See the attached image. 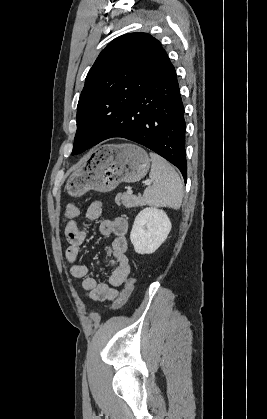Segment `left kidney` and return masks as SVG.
<instances>
[{"instance_id": "5707ae66", "label": "left kidney", "mask_w": 267, "mask_h": 419, "mask_svg": "<svg viewBox=\"0 0 267 419\" xmlns=\"http://www.w3.org/2000/svg\"><path fill=\"white\" fill-rule=\"evenodd\" d=\"M171 222L165 211L146 207L135 218L130 240L138 254H152L166 240Z\"/></svg>"}]
</instances>
